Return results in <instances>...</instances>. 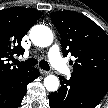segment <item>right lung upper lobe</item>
<instances>
[{"mask_svg":"<svg viewBox=\"0 0 108 108\" xmlns=\"http://www.w3.org/2000/svg\"><path fill=\"white\" fill-rule=\"evenodd\" d=\"M40 16V11L19 7L0 11V82L29 70L23 66L15 67L9 61L14 54L23 55L21 40Z\"/></svg>","mask_w":108,"mask_h":108,"instance_id":"cb5924a9","label":"right lung upper lobe"}]
</instances>
